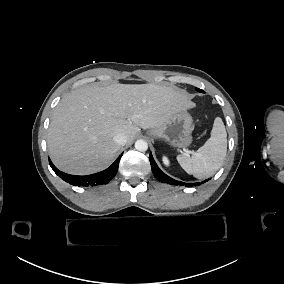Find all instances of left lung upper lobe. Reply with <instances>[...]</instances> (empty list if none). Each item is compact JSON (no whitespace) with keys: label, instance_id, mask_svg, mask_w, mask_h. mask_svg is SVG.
Wrapping results in <instances>:
<instances>
[{"label":"left lung upper lobe","instance_id":"obj_1","mask_svg":"<svg viewBox=\"0 0 284 284\" xmlns=\"http://www.w3.org/2000/svg\"><path fill=\"white\" fill-rule=\"evenodd\" d=\"M197 91H199V92H204V91H202V90H200V89H197Z\"/></svg>","mask_w":284,"mask_h":284}]
</instances>
